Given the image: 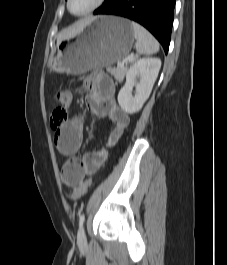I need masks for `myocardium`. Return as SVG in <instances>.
Segmentation results:
<instances>
[{"mask_svg": "<svg viewBox=\"0 0 227 265\" xmlns=\"http://www.w3.org/2000/svg\"><path fill=\"white\" fill-rule=\"evenodd\" d=\"M106 0H96L95 3L90 7L88 8L87 10L83 11V12H80V13H75L71 10L70 8V3H71V0H67L66 2V6H67V10L74 16H77V17H81V16H85V15H88L92 12H94L95 10H97L99 7H101L104 3H105Z\"/></svg>", "mask_w": 227, "mask_h": 265, "instance_id": "f54148a6", "label": "myocardium"}]
</instances>
